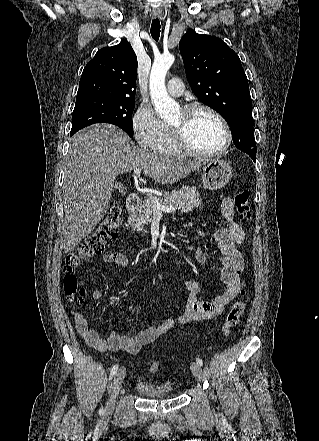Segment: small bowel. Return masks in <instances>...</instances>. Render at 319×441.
<instances>
[{"label": "small bowel", "mask_w": 319, "mask_h": 441, "mask_svg": "<svg viewBox=\"0 0 319 441\" xmlns=\"http://www.w3.org/2000/svg\"><path fill=\"white\" fill-rule=\"evenodd\" d=\"M221 211L227 225L217 229L214 236L222 264L221 281L225 286L222 293L212 301L200 299L197 283L188 281L185 283V288L189 292L186 308L177 320L167 319L164 323L143 329L134 336L113 331L107 339H103L97 331L89 326L82 313L77 312L75 314L76 328L85 341L99 351H124L137 354L144 346L167 333L176 322L189 323L209 320L220 315L226 305L236 299L240 291V276L244 269V260L238 246L245 239L244 230L235 219L233 199L225 198L221 203ZM195 257L200 263L206 262V256L200 248H196ZM103 259L106 263L118 264L122 267L129 266V259L118 251H107ZM92 297L98 301L102 298V292L94 288Z\"/></svg>", "instance_id": "small-bowel-1"}]
</instances>
